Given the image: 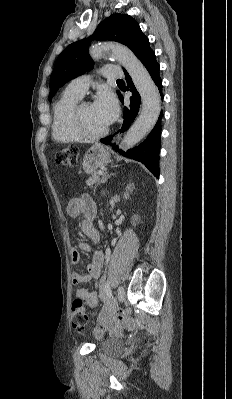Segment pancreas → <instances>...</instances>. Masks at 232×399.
Masks as SVG:
<instances>
[{"label": "pancreas", "instance_id": "cf45deb5", "mask_svg": "<svg viewBox=\"0 0 232 399\" xmlns=\"http://www.w3.org/2000/svg\"><path fill=\"white\" fill-rule=\"evenodd\" d=\"M98 172H99V170H96V172H92L89 180H87V182H86L87 186H91V188H92L93 184H102L101 178H100Z\"/></svg>", "mask_w": 232, "mask_h": 399}]
</instances>
